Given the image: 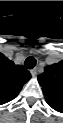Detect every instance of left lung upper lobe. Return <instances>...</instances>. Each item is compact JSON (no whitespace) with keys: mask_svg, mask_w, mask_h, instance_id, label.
Here are the masks:
<instances>
[{"mask_svg":"<svg viewBox=\"0 0 63 123\" xmlns=\"http://www.w3.org/2000/svg\"><path fill=\"white\" fill-rule=\"evenodd\" d=\"M39 84L47 103L56 111L63 108V67L55 63L45 67L44 72L38 76Z\"/></svg>","mask_w":63,"mask_h":123,"instance_id":"obj_1","label":"left lung upper lobe"}]
</instances>
